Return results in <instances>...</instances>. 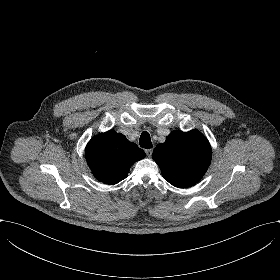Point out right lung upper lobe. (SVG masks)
Instances as JSON below:
<instances>
[{"label": "right lung upper lobe", "instance_id": "cb5924a9", "mask_svg": "<svg viewBox=\"0 0 280 280\" xmlns=\"http://www.w3.org/2000/svg\"><path fill=\"white\" fill-rule=\"evenodd\" d=\"M85 155L96 179L105 184H117L127 177L136 161L145 157V152L123 134L110 130L91 139Z\"/></svg>", "mask_w": 280, "mask_h": 280}]
</instances>
